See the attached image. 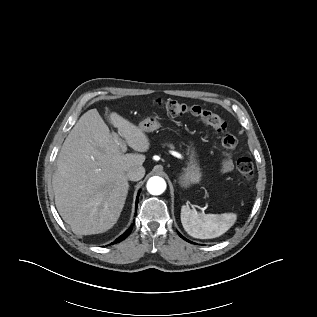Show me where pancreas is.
I'll list each match as a JSON object with an SVG mask.
<instances>
[{
	"mask_svg": "<svg viewBox=\"0 0 317 317\" xmlns=\"http://www.w3.org/2000/svg\"><path fill=\"white\" fill-rule=\"evenodd\" d=\"M170 148H174L172 145H170Z\"/></svg>",
	"mask_w": 317,
	"mask_h": 317,
	"instance_id": "cf45deb5",
	"label": "pancreas"
}]
</instances>
